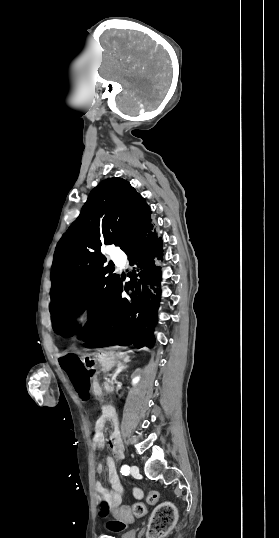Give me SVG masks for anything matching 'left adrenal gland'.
Here are the masks:
<instances>
[{"mask_svg":"<svg viewBox=\"0 0 279 538\" xmlns=\"http://www.w3.org/2000/svg\"><path fill=\"white\" fill-rule=\"evenodd\" d=\"M127 362H130L129 358H127ZM127 362H123V364H121L116 376H118L119 372H122V370H125V368H127L126 366Z\"/></svg>","mask_w":279,"mask_h":538,"instance_id":"a2214340","label":"left adrenal gland"}]
</instances>
